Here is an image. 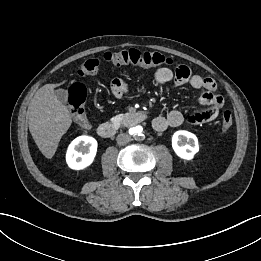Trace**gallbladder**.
<instances>
[{"mask_svg": "<svg viewBox=\"0 0 261 261\" xmlns=\"http://www.w3.org/2000/svg\"><path fill=\"white\" fill-rule=\"evenodd\" d=\"M56 95L62 102H66L68 99V92L65 89L56 90Z\"/></svg>", "mask_w": 261, "mask_h": 261, "instance_id": "gallbladder-1", "label": "gallbladder"}]
</instances>
